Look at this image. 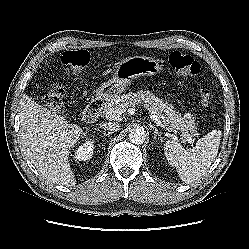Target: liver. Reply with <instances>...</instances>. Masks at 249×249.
I'll list each match as a JSON object with an SVG mask.
<instances>
[{
	"label": "liver",
	"instance_id": "liver-1",
	"mask_svg": "<svg viewBox=\"0 0 249 249\" xmlns=\"http://www.w3.org/2000/svg\"><path fill=\"white\" fill-rule=\"evenodd\" d=\"M19 120L23 151L38 172L54 184L74 186L69 154L82 129L25 94L20 100Z\"/></svg>",
	"mask_w": 249,
	"mask_h": 249
}]
</instances>
